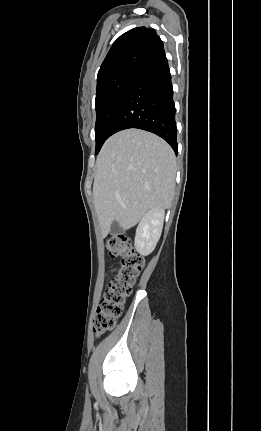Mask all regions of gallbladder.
<instances>
[{"label":"gallbladder","instance_id":"bac80fb5","mask_svg":"<svg viewBox=\"0 0 261 431\" xmlns=\"http://www.w3.org/2000/svg\"><path fill=\"white\" fill-rule=\"evenodd\" d=\"M123 232V229L120 227L119 223L114 221L111 225L110 233L112 235H118Z\"/></svg>","mask_w":261,"mask_h":431}]
</instances>
